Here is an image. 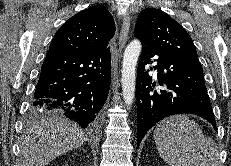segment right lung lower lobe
Wrapping results in <instances>:
<instances>
[{
    "label": "right lung lower lobe",
    "instance_id": "right-lung-lower-lobe-1",
    "mask_svg": "<svg viewBox=\"0 0 231 166\" xmlns=\"http://www.w3.org/2000/svg\"><path fill=\"white\" fill-rule=\"evenodd\" d=\"M110 83V48L87 54L48 50L31 109L36 113H63L95 132Z\"/></svg>",
    "mask_w": 231,
    "mask_h": 166
}]
</instances>
